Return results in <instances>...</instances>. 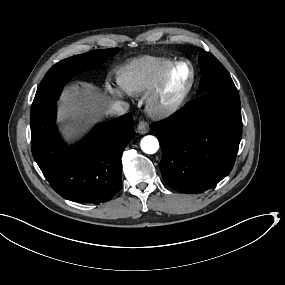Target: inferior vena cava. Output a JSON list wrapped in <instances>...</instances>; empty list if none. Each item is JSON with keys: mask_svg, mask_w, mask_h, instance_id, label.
Listing matches in <instances>:
<instances>
[{"mask_svg": "<svg viewBox=\"0 0 285 285\" xmlns=\"http://www.w3.org/2000/svg\"><path fill=\"white\" fill-rule=\"evenodd\" d=\"M128 109L129 105L126 102H115L108 108V114L111 116H121L124 115Z\"/></svg>", "mask_w": 285, "mask_h": 285, "instance_id": "obj_1", "label": "inferior vena cava"}]
</instances>
